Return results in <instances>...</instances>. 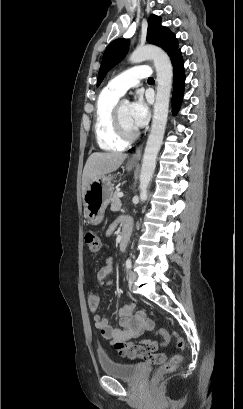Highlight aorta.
Returning <instances> with one entry per match:
<instances>
[{
	"label": "aorta",
	"mask_w": 243,
	"mask_h": 409,
	"mask_svg": "<svg viewBox=\"0 0 243 409\" xmlns=\"http://www.w3.org/2000/svg\"><path fill=\"white\" fill-rule=\"evenodd\" d=\"M131 63L153 60L157 72V94L154 113L146 147L143 154L140 172V200L148 195V185L153 177L156 159L160 150L168 117L170 92L172 88L173 69L169 56L156 46L138 47L129 58Z\"/></svg>",
	"instance_id": "aorta-1"
}]
</instances>
